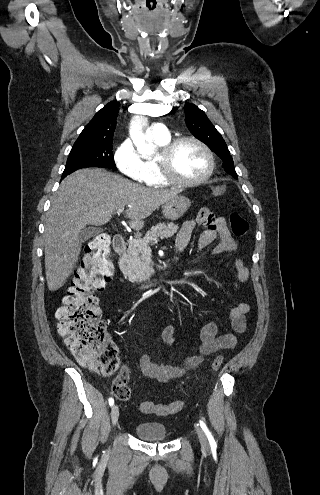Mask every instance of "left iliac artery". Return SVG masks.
I'll use <instances>...</instances> for the list:
<instances>
[{
	"mask_svg": "<svg viewBox=\"0 0 320 495\" xmlns=\"http://www.w3.org/2000/svg\"><path fill=\"white\" fill-rule=\"evenodd\" d=\"M200 426L203 429V431L205 432V434L209 440L211 448H216L217 444H216L211 432L209 431L206 424L202 420H200Z\"/></svg>",
	"mask_w": 320,
	"mask_h": 495,
	"instance_id": "left-iliac-artery-1",
	"label": "left iliac artery"
}]
</instances>
